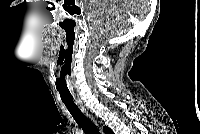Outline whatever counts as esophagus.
Wrapping results in <instances>:
<instances>
[{
  "label": "esophagus",
  "mask_w": 200,
  "mask_h": 134,
  "mask_svg": "<svg viewBox=\"0 0 200 134\" xmlns=\"http://www.w3.org/2000/svg\"><path fill=\"white\" fill-rule=\"evenodd\" d=\"M81 108H82V110H83V111H85V112L88 114V111H86V109H85L83 106H82ZM92 118H93V117H92ZM96 123H97V122H96ZM97 125H98V124H97ZM100 131H101V133H103V131H102V128H101V127H100Z\"/></svg>",
  "instance_id": "1"
}]
</instances>
